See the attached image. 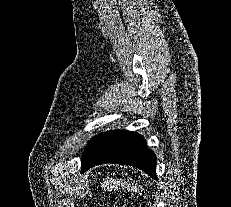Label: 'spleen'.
<instances>
[{"mask_svg":"<svg viewBox=\"0 0 231 207\" xmlns=\"http://www.w3.org/2000/svg\"><path fill=\"white\" fill-rule=\"evenodd\" d=\"M118 186L125 187L127 188V190H131L133 192H140L139 188L142 189V187H140L137 183L136 184L130 183L129 181H125L122 179L114 180L110 184V188H117Z\"/></svg>","mask_w":231,"mask_h":207,"instance_id":"1","label":"spleen"}]
</instances>
